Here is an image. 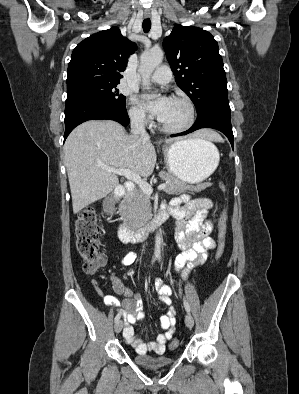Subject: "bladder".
Segmentation results:
<instances>
[{
    "instance_id": "1",
    "label": "bladder",
    "mask_w": 299,
    "mask_h": 394,
    "mask_svg": "<svg viewBox=\"0 0 299 394\" xmlns=\"http://www.w3.org/2000/svg\"><path fill=\"white\" fill-rule=\"evenodd\" d=\"M135 363L149 371H156L158 369L171 365L174 361L172 356L167 355H141L137 354L134 357Z\"/></svg>"
}]
</instances>
